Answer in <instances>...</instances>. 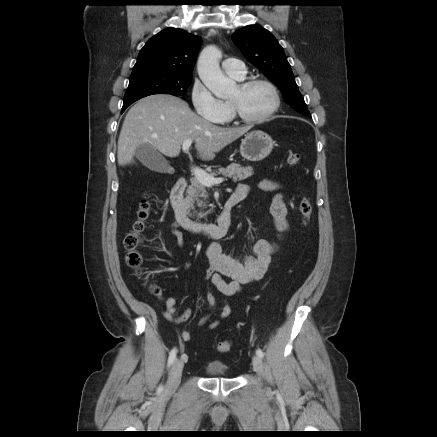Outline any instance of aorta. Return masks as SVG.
I'll list each match as a JSON object with an SVG mask.
<instances>
[{"label":"aorta","mask_w":437,"mask_h":437,"mask_svg":"<svg viewBox=\"0 0 437 437\" xmlns=\"http://www.w3.org/2000/svg\"><path fill=\"white\" fill-rule=\"evenodd\" d=\"M221 51L214 45L205 47L197 62V70L204 85L218 98H226L236 89L235 81L228 79L221 71Z\"/></svg>","instance_id":"1"}]
</instances>
